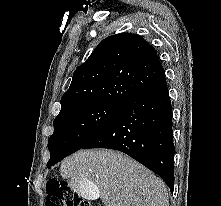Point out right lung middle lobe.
Wrapping results in <instances>:
<instances>
[{"mask_svg":"<svg viewBox=\"0 0 221 206\" xmlns=\"http://www.w3.org/2000/svg\"><path fill=\"white\" fill-rule=\"evenodd\" d=\"M124 106L94 103L60 112L54 119V133L48 140L47 167L81 149L122 111Z\"/></svg>","mask_w":221,"mask_h":206,"instance_id":"obj_1","label":"right lung middle lobe"}]
</instances>
